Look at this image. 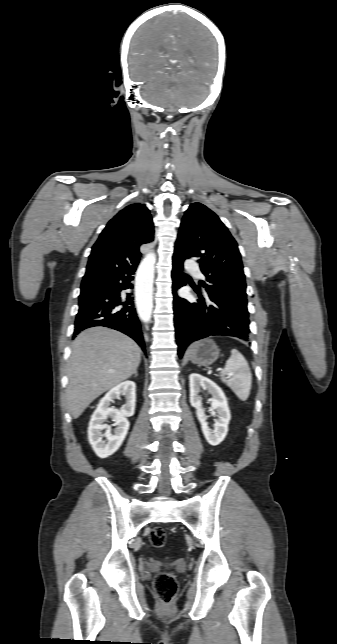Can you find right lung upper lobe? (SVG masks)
<instances>
[{"label":"right lung upper lobe","mask_w":337,"mask_h":644,"mask_svg":"<svg viewBox=\"0 0 337 644\" xmlns=\"http://www.w3.org/2000/svg\"><path fill=\"white\" fill-rule=\"evenodd\" d=\"M154 238L148 208L131 204L112 218L92 247L82 283L104 281L129 266H137L139 247Z\"/></svg>","instance_id":"1"}]
</instances>
